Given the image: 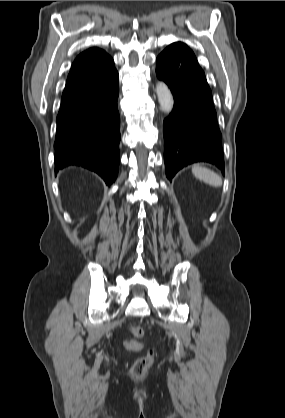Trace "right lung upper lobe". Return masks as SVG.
<instances>
[{
    "mask_svg": "<svg viewBox=\"0 0 285 418\" xmlns=\"http://www.w3.org/2000/svg\"><path fill=\"white\" fill-rule=\"evenodd\" d=\"M114 69L113 59L104 50L93 47L83 51L72 64L62 99L97 83Z\"/></svg>",
    "mask_w": 285,
    "mask_h": 418,
    "instance_id": "1",
    "label": "right lung upper lobe"
}]
</instances>
